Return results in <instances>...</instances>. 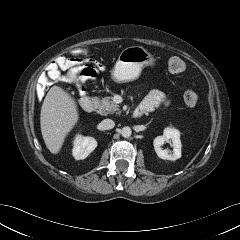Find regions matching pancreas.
Instances as JSON below:
<instances>
[{
  "label": "pancreas",
  "mask_w": 240,
  "mask_h": 240,
  "mask_svg": "<svg viewBox=\"0 0 240 240\" xmlns=\"http://www.w3.org/2000/svg\"><path fill=\"white\" fill-rule=\"evenodd\" d=\"M169 101L166 102L165 106L169 105ZM119 111V105L115 104L112 97L97 98V112L101 115L113 114Z\"/></svg>",
  "instance_id": "pancreas-1"
}]
</instances>
